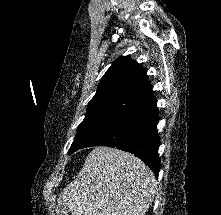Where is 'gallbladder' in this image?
<instances>
[{
    "instance_id": "bac80fb5",
    "label": "gallbladder",
    "mask_w": 221,
    "mask_h": 215,
    "mask_svg": "<svg viewBox=\"0 0 221 215\" xmlns=\"http://www.w3.org/2000/svg\"><path fill=\"white\" fill-rule=\"evenodd\" d=\"M70 209L66 204H59L57 206V215H69Z\"/></svg>"
}]
</instances>
